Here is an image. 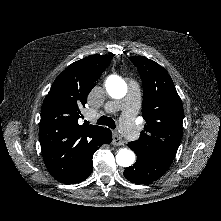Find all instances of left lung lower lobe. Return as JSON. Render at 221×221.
Segmentation results:
<instances>
[{
  "mask_svg": "<svg viewBox=\"0 0 221 221\" xmlns=\"http://www.w3.org/2000/svg\"><path fill=\"white\" fill-rule=\"evenodd\" d=\"M132 149L131 143L128 144ZM173 159L147 160L137 158L136 163L125 169L124 176L127 180L145 184L160 178L170 167Z\"/></svg>",
  "mask_w": 221,
  "mask_h": 221,
  "instance_id": "0a47b994",
  "label": "left lung lower lobe"
}]
</instances>
